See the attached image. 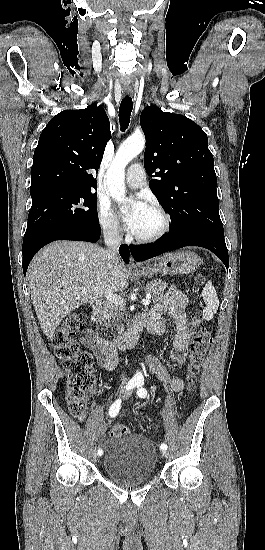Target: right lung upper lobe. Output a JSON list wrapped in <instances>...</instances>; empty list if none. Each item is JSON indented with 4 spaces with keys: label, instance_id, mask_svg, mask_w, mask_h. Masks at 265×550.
Here are the masks:
<instances>
[{
    "label": "right lung upper lobe",
    "instance_id": "right-lung-upper-lobe-1",
    "mask_svg": "<svg viewBox=\"0 0 265 550\" xmlns=\"http://www.w3.org/2000/svg\"><path fill=\"white\" fill-rule=\"evenodd\" d=\"M109 139L110 122L103 107L91 104L86 109L60 112L40 135L33 156L30 190L96 188L94 174Z\"/></svg>",
    "mask_w": 265,
    "mask_h": 550
}]
</instances>
